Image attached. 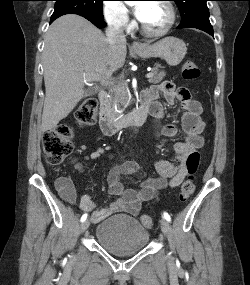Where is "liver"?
<instances>
[{"mask_svg": "<svg viewBox=\"0 0 250 285\" xmlns=\"http://www.w3.org/2000/svg\"><path fill=\"white\" fill-rule=\"evenodd\" d=\"M126 43L111 46L104 34L78 15L54 21L45 36L43 68L45 101L41 130H51L89 91L86 83L109 79L125 63ZM84 78L87 81H84Z\"/></svg>", "mask_w": 250, "mask_h": 285, "instance_id": "1", "label": "liver"}]
</instances>
